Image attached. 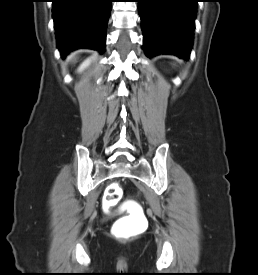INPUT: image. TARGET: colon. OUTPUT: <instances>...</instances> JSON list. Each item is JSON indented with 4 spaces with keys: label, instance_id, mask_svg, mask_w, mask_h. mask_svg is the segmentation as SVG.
<instances>
[{
    "label": "colon",
    "instance_id": "obj_1",
    "mask_svg": "<svg viewBox=\"0 0 258 275\" xmlns=\"http://www.w3.org/2000/svg\"><path fill=\"white\" fill-rule=\"evenodd\" d=\"M122 190L117 184H112L107 190L106 200L107 201H117L121 197ZM116 234L120 237H126L127 231L116 230Z\"/></svg>",
    "mask_w": 258,
    "mask_h": 275
}]
</instances>
